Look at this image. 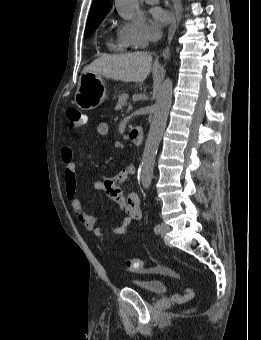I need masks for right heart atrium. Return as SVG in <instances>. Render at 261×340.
<instances>
[{
	"instance_id": "right-heart-atrium-1",
	"label": "right heart atrium",
	"mask_w": 261,
	"mask_h": 340,
	"mask_svg": "<svg viewBox=\"0 0 261 340\" xmlns=\"http://www.w3.org/2000/svg\"><path fill=\"white\" fill-rule=\"evenodd\" d=\"M119 32L131 42L134 47L143 48L157 36V32L148 25L142 15L138 14L122 23Z\"/></svg>"
}]
</instances>
